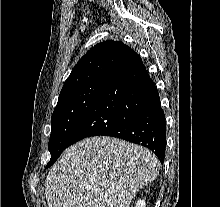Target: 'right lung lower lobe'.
<instances>
[{"mask_svg": "<svg viewBox=\"0 0 220 207\" xmlns=\"http://www.w3.org/2000/svg\"><path fill=\"white\" fill-rule=\"evenodd\" d=\"M98 135L142 145L164 161L165 115L142 60L105 80L92 107L70 137L69 146Z\"/></svg>", "mask_w": 220, "mask_h": 207, "instance_id": "98d812e1", "label": "right lung lower lobe"}]
</instances>
